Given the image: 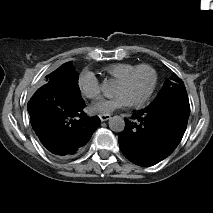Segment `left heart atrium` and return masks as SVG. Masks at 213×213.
<instances>
[{
    "instance_id": "39dd6f15",
    "label": "left heart atrium",
    "mask_w": 213,
    "mask_h": 213,
    "mask_svg": "<svg viewBox=\"0 0 213 213\" xmlns=\"http://www.w3.org/2000/svg\"><path fill=\"white\" fill-rule=\"evenodd\" d=\"M128 105V99L123 95H116L102 99L92 106V109L102 114H109Z\"/></svg>"
}]
</instances>
